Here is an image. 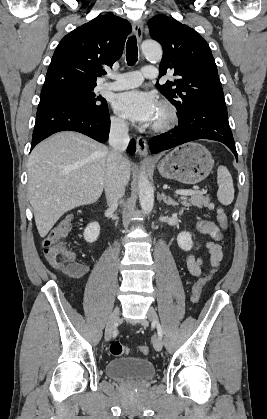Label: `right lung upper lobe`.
<instances>
[{
  "label": "right lung upper lobe",
  "instance_id": "right-lung-upper-lobe-1",
  "mask_svg": "<svg viewBox=\"0 0 267 419\" xmlns=\"http://www.w3.org/2000/svg\"><path fill=\"white\" fill-rule=\"evenodd\" d=\"M131 29L127 20L106 14L70 32L53 54L41 94L66 86L96 87L103 68L122 55Z\"/></svg>",
  "mask_w": 267,
  "mask_h": 419
}]
</instances>
